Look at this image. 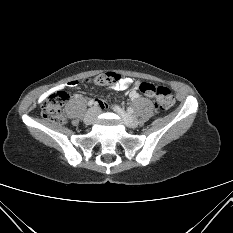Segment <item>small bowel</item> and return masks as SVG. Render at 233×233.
<instances>
[{"label": "small bowel", "instance_id": "1", "mask_svg": "<svg viewBox=\"0 0 233 233\" xmlns=\"http://www.w3.org/2000/svg\"><path fill=\"white\" fill-rule=\"evenodd\" d=\"M108 78L112 82L117 83V84L112 86V88L114 90H116V91H123V90L128 89L131 86H134V88L129 92V97L131 99L138 98V96H139L138 86H139L140 82H134L131 78L117 76V74L114 73V72H109L108 73ZM76 85H79V82L72 81V82H69V83H67L65 85L59 86V87L50 88V89H48V92L61 90V89L65 88V87L73 88ZM85 85L86 86H91L92 85V80L91 79H86L85 80ZM47 96H48V93H44L43 95H41L39 101L42 103L46 99ZM100 106L101 107L103 106L102 102H100Z\"/></svg>", "mask_w": 233, "mask_h": 233}]
</instances>
